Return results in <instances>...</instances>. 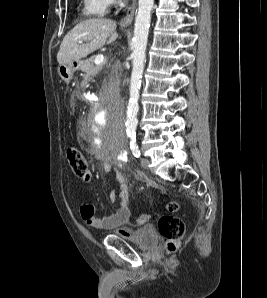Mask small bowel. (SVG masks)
Wrapping results in <instances>:
<instances>
[{
    "label": "small bowel",
    "instance_id": "1",
    "mask_svg": "<svg viewBox=\"0 0 267 298\" xmlns=\"http://www.w3.org/2000/svg\"><path fill=\"white\" fill-rule=\"evenodd\" d=\"M116 173L117 183L119 185V193L116 194L115 191H110L108 194V201L110 204H113L116 202L117 198H119L120 206L117 211L111 215L97 216L94 205L91 203H86L80 206L79 212L82 220L89 227L101 230H112L118 228L120 234L130 235L131 229L124 227L130 215L128 208L129 187L121 171L117 169ZM91 180L92 175L89 173L87 179H84L83 181L85 183H90Z\"/></svg>",
    "mask_w": 267,
    "mask_h": 298
}]
</instances>
